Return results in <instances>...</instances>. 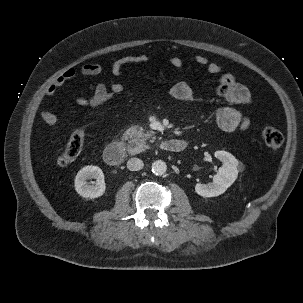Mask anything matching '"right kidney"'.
<instances>
[{"mask_svg": "<svg viewBox=\"0 0 303 303\" xmlns=\"http://www.w3.org/2000/svg\"><path fill=\"white\" fill-rule=\"evenodd\" d=\"M96 179V182L88 184L86 180ZM75 190L84 198H98L105 193L106 185L104 182L103 171L97 166L83 167L75 177Z\"/></svg>", "mask_w": 303, "mask_h": 303, "instance_id": "1", "label": "right kidney"}]
</instances>
